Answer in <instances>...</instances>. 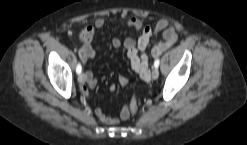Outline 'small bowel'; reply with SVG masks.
I'll return each mask as SVG.
<instances>
[{
    "label": "small bowel",
    "instance_id": "obj_1",
    "mask_svg": "<svg viewBox=\"0 0 247 145\" xmlns=\"http://www.w3.org/2000/svg\"><path fill=\"white\" fill-rule=\"evenodd\" d=\"M105 25L106 21L102 17H99L94 21V27L97 30L103 29ZM126 26L136 31H141L140 37L137 40L133 38H127L124 41H122L120 38H113L112 46L116 49L123 46L126 49L127 57L130 60L132 69L142 80L149 81L150 69L148 64V56L146 54L147 47L156 35L161 34L163 40L155 42L151 50V53L154 57L159 56L177 41V28L175 24L167 19H160L155 27L152 28L144 26L142 21L138 18H130L127 20ZM79 54L82 62L86 63L95 57V50L93 49L91 43L86 42L81 47ZM85 76L86 81L81 86V92L84 96H88V89L97 85V79L91 71H87ZM119 83L122 86H126L128 84V78L120 75ZM109 89L110 91H115L116 86L111 85ZM125 111L126 108L122 110L119 117H112L105 114L100 107H97L95 109V114L101 122L108 125H113L117 124L120 119H126Z\"/></svg>",
    "mask_w": 247,
    "mask_h": 145
}]
</instances>
